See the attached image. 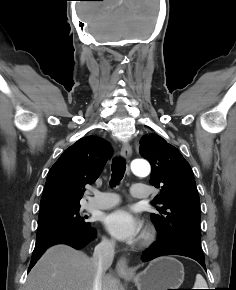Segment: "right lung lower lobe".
<instances>
[{
  "mask_svg": "<svg viewBox=\"0 0 236 290\" xmlns=\"http://www.w3.org/2000/svg\"><path fill=\"white\" fill-rule=\"evenodd\" d=\"M94 238L95 229L91 226L75 230L56 231L41 237H37L28 272L35 265L36 261L42 256L44 251L50 246L62 243L79 249L84 247Z\"/></svg>",
  "mask_w": 236,
  "mask_h": 290,
  "instance_id": "right-lung-lower-lobe-1",
  "label": "right lung lower lobe"
}]
</instances>
